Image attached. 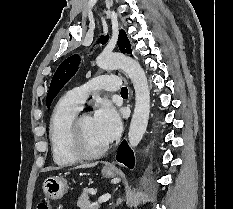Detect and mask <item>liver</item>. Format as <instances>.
I'll use <instances>...</instances> for the list:
<instances>
[{
  "label": "liver",
  "mask_w": 233,
  "mask_h": 209,
  "mask_svg": "<svg viewBox=\"0 0 233 209\" xmlns=\"http://www.w3.org/2000/svg\"><path fill=\"white\" fill-rule=\"evenodd\" d=\"M95 165H96V163H93V164H81V165L75 167V169L91 168V167H94Z\"/></svg>",
  "instance_id": "6515ba94"
}]
</instances>
